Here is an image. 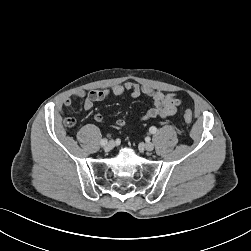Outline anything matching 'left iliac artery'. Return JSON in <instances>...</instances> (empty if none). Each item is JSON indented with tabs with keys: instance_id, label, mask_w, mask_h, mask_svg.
Masks as SVG:
<instances>
[{
	"instance_id": "44dca946",
	"label": "left iliac artery",
	"mask_w": 251,
	"mask_h": 251,
	"mask_svg": "<svg viewBox=\"0 0 251 251\" xmlns=\"http://www.w3.org/2000/svg\"><path fill=\"white\" fill-rule=\"evenodd\" d=\"M149 132L151 134H155L157 132V128L155 126H152V127L149 128Z\"/></svg>"
}]
</instances>
